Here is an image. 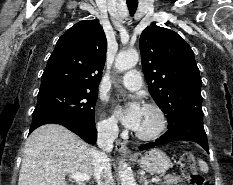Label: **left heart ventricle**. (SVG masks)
Listing matches in <instances>:
<instances>
[{
    "instance_id": "b2bd125f",
    "label": "left heart ventricle",
    "mask_w": 233,
    "mask_h": 185,
    "mask_svg": "<svg viewBox=\"0 0 233 185\" xmlns=\"http://www.w3.org/2000/svg\"><path fill=\"white\" fill-rule=\"evenodd\" d=\"M159 125L157 114L151 110L143 108L142 117L136 132L141 134H149L156 130Z\"/></svg>"
}]
</instances>
